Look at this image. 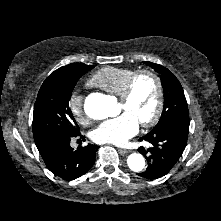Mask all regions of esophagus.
<instances>
[{"label":"esophagus","instance_id":"esophagus-1","mask_svg":"<svg viewBox=\"0 0 221 221\" xmlns=\"http://www.w3.org/2000/svg\"><path fill=\"white\" fill-rule=\"evenodd\" d=\"M118 150H119L120 152H122V153H130V152H132L131 150L122 149V148H119Z\"/></svg>","mask_w":221,"mask_h":221}]
</instances>
